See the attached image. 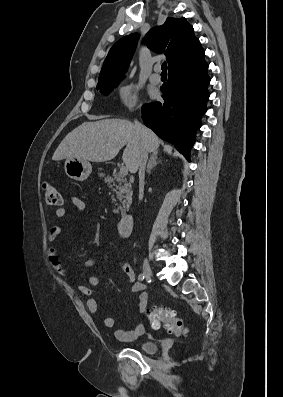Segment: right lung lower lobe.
Returning <instances> with one entry per match:
<instances>
[{
  "label": "right lung lower lobe",
  "instance_id": "1",
  "mask_svg": "<svg viewBox=\"0 0 283 397\" xmlns=\"http://www.w3.org/2000/svg\"><path fill=\"white\" fill-rule=\"evenodd\" d=\"M208 64L204 57L169 71L168 83L162 86L164 102L142 106L144 124L161 139L172 143L188 160L200 118L209 98Z\"/></svg>",
  "mask_w": 283,
  "mask_h": 397
}]
</instances>
